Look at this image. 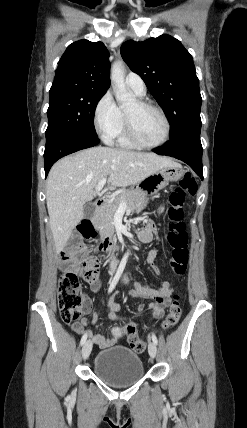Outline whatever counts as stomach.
Listing matches in <instances>:
<instances>
[{
  "label": "stomach",
  "mask_w": 247,
  "mask_h": 428,
  "mask_svg": "<svg viewBox=\"0 0 247 428\" xmlns=\"http://www.w3.org/2000/svg\"><path fill=\"white\" fill-rule=\"evenodd\" d=\"M184 176L182 166L165 167L153 173L137 184V189L145 195L154 196L160 190L169 185L170 182L179 181Z\"/></svg>",
  "instance_id": "stomach-1"
}]
</instances>
